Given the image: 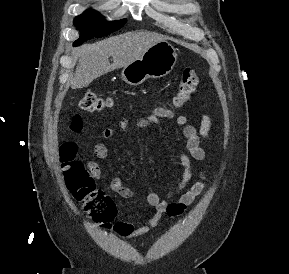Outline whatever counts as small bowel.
Wrapping results in <instances>:
<instances>
[{
	"instance_id": "c3829d8e",
	"label": "small bowel",
	"mask_w": 289,
	"mask_h": 274,
	"mask_svg": "<svg viewBox=\"0 0 289 274\" xmlns=\"http://www.w3.org/2000/svg\"><path fill=\"white\" fill-rule=\"evenodd\" d=\"M165 120H173L177 126L181 128V134L186 140V152H182L179 156L183 173L179 185L166 195V199H161L157 192H149L146 197V202L153 213L148 218L147 222L141 226H135L130 222H118L114 226V231L123 237H137L148 233L156 227L164 214L176 216L182 214L186 208L191 205L194 200L203 192L204 183L202 181L194 183L186 190L192 177L191 159L203 162L206 159V152L202 147L203 142L207 138L212 119L208 114L203 115L199 127H195L187 123V117L183 114H176L174 111L156 107L152 113L139 118L135 124L137 128H146L154 123H161ZM117 127L125 131L128 128V121L122 119L118 122ZM114 135V130L106 128L103 131V137L111 139ZM94 155L97 158L105 159L108 157L109 151L105 144L97 143L93 147ZM86 166L92 176L96 179L101 178V169L97 162L88 161ZM200 178L205 179L204 172L200 173ZM111 190L123 198H131L134 196V191L126 186L120 178H114L110 183Z\"/></svg>"
}]
</instances>
